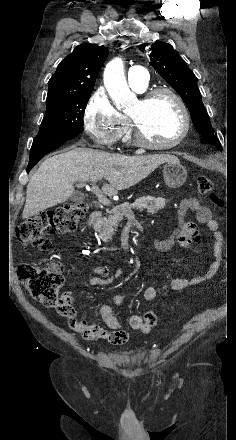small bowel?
<instances>
[{"mask_svg": "<svg viewBox=\"0 0 236 440\" xmlns=\"http://www.w3.org/2000/svg\"><path fill=\"white\" fill-rule=\"evenodd\" d=\"M193 213L198 223L208 226V229L214 240V261L210 265L208 271L200 276L192 278H174L168 284L167 288L172 291H181L186 288L197 286L205 281L213 278L220 268V259L222 256V234L218 230V223L213 219L210 209L201 205L195 198H186L180 202L178 210V228L167 238H158L155 240V247L158 251H168L174 242L185 249H192L193 246L200 241L201 235L196 223L187 221L186 215ZM60 270L61 266L56 264ZM95 276L91 277L87 284L90 287H98L110 284L113 280L122 276V270L116 269L112 276H109V270L106 266H97L94 269ZM160 289L156 286H149L144 291L146 301L154 302L158 299ZM62 297L67 300L68 307L63 315L69 321V330H76L85 339L92 340L96 337L106 340L114 345H122L128 341L129 336H134L135 332L150 333V324H144L142 318L138 314H133L129 318L130 327L124 330L116 317L112 313V305H118L123 300V295L113 296L109 302L101 305L100 314L105 322L107 329L94 324V321H80L77 318L76 311L71 306L73 295L71 291H64Z\"/></svg>", "mask_w": 236, "mask_h": 440, "instance_id": "c3829d8e", "label": "small bowel"}]
</instances>
